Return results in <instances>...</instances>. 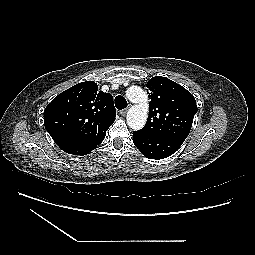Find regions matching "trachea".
<instances>
[{"label": "trachea", "instance_id": "trachea-1", "mask_svg": "<svg viewBox=\"0 0 255 255\" xmlns=\"http://www.w3.org/2000/svg\"><path fill=\"white\" fill-rule=\"evenodd\" d=\"M115 106L117 109L122 110L127 107V101L123 96H116L115 98Z\"/></svg>", "mask_w": 255, "mask_h": 255}]
</instances>
